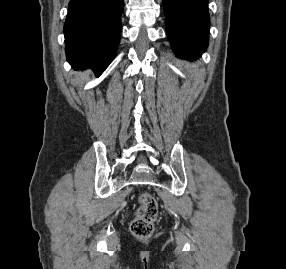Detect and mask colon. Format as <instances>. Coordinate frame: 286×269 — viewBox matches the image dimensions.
Listing matches in <instances>:
<instances>
[{
	"label": "colon",
	"instance_id": "1",
	"mask_svg": "<svg viewBox=\"0 0 286 269\" xmlns=\"http://www.w3.org/2000/svg\"><path fill=\"white\" fill-rule=\"evenodd\" d=\"M158 215V203L154 196L142 193L135 216L131 221L130 229L138 238H148L154 230V222Z\"/></svg>",
	"mask_w": 286,
	"mask_h": 269
}]
</instances>
